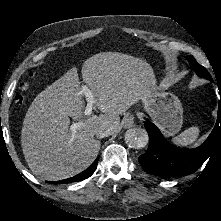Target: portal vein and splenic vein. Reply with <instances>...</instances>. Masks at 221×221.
I'll return each instance as SVG.
<instances>
[{"label":"portal vein and splenic vein","instance_id":"obj_1","mask_svg":"<svg viewBox=\"0 0 221 221\" xmlns=\"http://www.w3.org/2000/svg\"><path fill=\"white\" fill-rule=\"evenodd\" d=\"M79 94H83L86 98V101H87V106L85 108L84 115L90 116L92 114V110L94 108V104H95L96 100H95L91 90L87 86H82ZM81 126H82V122L73 123L70 126V130L72 132H76V130H78Z\"/></svg>","mask_w":221,"mask_h":221}]
</instances>
